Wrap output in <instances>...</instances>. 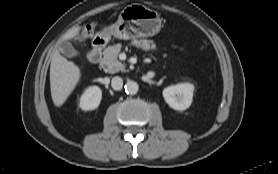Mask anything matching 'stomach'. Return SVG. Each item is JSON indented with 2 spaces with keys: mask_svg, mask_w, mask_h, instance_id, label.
Masks as SVG:
<instances>
[{
  "mask_svg": "<svg viewBox=\"0 0 278 174\" xmlns=\"http://www.w3.org/2000/svg\"><path fill=\"white\" fill-rule=\"evenodd\" d=\"M161 22L156 11L144 5L131 4L121 11L116 23L106 28L101 35L106 39L114 36L123 40L151 37L160 31Z\"/></svg>",
  "mask_w": 278,
  "mask_h": 174,
  "instance_id": "stomach-1",
  "label": "stomach"
}]
</instances>
